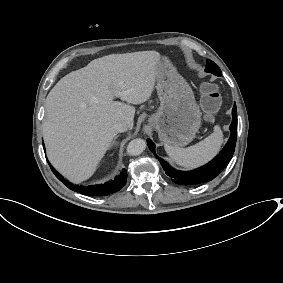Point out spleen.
<instances>
[{
    "instance_id": "spleen-1",
    "label": "spleen",
    "mask_w": 283,
    "mask_h": 283,
    "mask_svg": "<svg viewBox=\"0 0 283 283\" xmlns=\"http://www.w3.org/2000/svg\"><path fill=\"white\" fill-rule=\"evenodd\" d=\"M223 143V133L219 125L214 126V132L199 143L180 148L165 144L164 148L176 164L185 168H195L207 163L220 150Z\"/></svg>"
}]
</instances>
